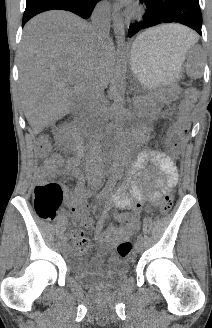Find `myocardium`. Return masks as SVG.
Listing matches in <instances>:
<instances>
[{
  "label": "myocardium",
  "instance_id": "1",
  "mask_svg": "<svg viewBox=\"0 0 212 328\" xmlns=\"http://www.w3.org/2000/svg\"><path fill=\"white\" fill-rule=\"evenodd\" d=\"M143 13V8L141 5L139 4H135L132 8V10L130 11V17L132 18H136L138 16H140Z\"/></svg>",
  "mask_w": 212,
  "mask_h": 328
}]
</instances>
